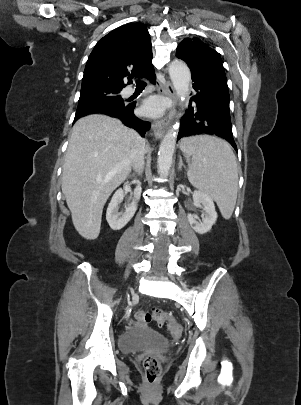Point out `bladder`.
<instances>
[{
	"mask_svg": "<svg viewBox=\"0 0 301 405\" xmlns=\"http://www.w3.org/2000/svg\"><path fill=\"white\" fill-rule=\"evenodd\" d=\"M119 346L125 353L146 350L165 352L169 348L167 340L161 334L143 326H134L125 331L120 338Z\"/></svg>",
	"mask_w": 301,
	"mask_h": 405,
	"instance_id": "31cf9c89",
	"label": "bladder"
}]
</instances>
